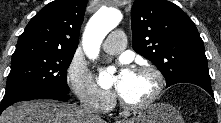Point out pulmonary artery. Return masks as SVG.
<instances>
[{
    "label": "pulmonary artery",
    "instance_id": "pulmonary-artery-1",
    "mask_svg": "<svg viewBox=\"0 0 221 123\" xmlns=\"http://www.w3.org/2000/svg\"><path fill=\"white\" fill-rule=\"evenodd\" d=\"M125 46V34L120 30H116L109 34V36L104 41L102 48L105 52L114 55L123 51Z\"/></svg>",
    "mask_w": 221,
    "mask_h": 123
}]
</instances>
